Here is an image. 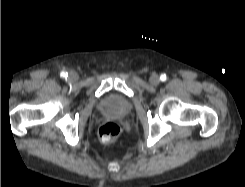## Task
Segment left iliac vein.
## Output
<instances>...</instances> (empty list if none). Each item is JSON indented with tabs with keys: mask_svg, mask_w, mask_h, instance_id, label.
I'll return each mask as SVG.
<instances>
[{
	"mask_svg": "<svg viewBox=\"0 0 245 187\" xmlns=\"http://www.w3.org/2000/svg\"><path fill=\"white\" fill-rule=\"evenodd\" d=\"M149 80H150V83H151L152 85H154V86L158 85L159 82H160V78H159V76H158L157 74L151 75V77H150Z\"/></svg>",
	"mask_w": 245,
	"mask_h": 187,
	"instance_id": "left-iliac-vein-1",
	"label": "left iliac vein"
}]
</instances>
